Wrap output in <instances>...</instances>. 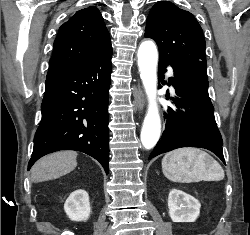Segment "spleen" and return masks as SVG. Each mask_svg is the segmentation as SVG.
I'll return each instance as SVG.
<instances>
[{"label": "spleen", "mask_w": 250, "mask_h": 235, "mask_svg": "<svg viewBox=\"0 0 250 235\" xmlns=\"http://www.w3.org/2000/svg\"><path fill=\"white\" fill-rule=\"evenodd\" d=\"M164 175L173 182L191 183L224 179L221 165L208 153L196 148H180L162 159Z\"/></svg>", "instance_id": "spleen-1"}]
</instances>
